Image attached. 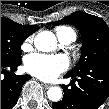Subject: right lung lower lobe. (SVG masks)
Returning <instances> with one entry per match:
<instances>
[{
	"label": "right lung lower lobe",
	"instance_id": "right-lung-lower-lobe-1",
	"mask_svg": "<svg viewBox=\"0 0 109 109\" xmlns=\"http://www.w3.org/2000/svg\"><path fill=\"white\" fill-rule=\"evenodd\" d=\"M19 65H21V61L11 64L1 63V109L13 108L24 83L30 79L29 75L16 76L9 73V71L14 72L17 70Z\"/></svg>",
	"mask_w": 109,
	"mask_h": 109
}]
</instances>
